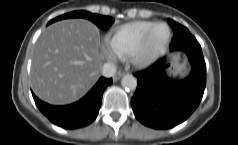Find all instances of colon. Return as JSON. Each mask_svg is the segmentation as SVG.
<instances>
[{"mask_svg": "<svg viewBox=\"0 0 238 145\" xmlns=\"http://www.w3.org/2000/svg\"><path fill=\"white\" fill-rule=\"evenodd\" d=\"M180 69L179 63L177 61H174L170 66H169V70L172 73H176L178 70Z\"/></svg>", "mask_w": 238, "mask_h": 145, "instance_id": "5ec220e1", "label": "colon"}]
</instances>
